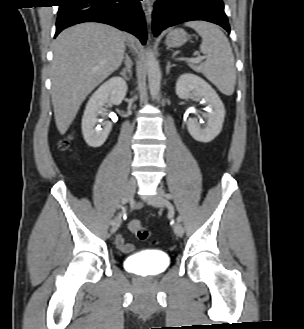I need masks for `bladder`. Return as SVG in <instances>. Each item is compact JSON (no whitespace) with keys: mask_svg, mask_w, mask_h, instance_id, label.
Segmentation results:
<instances>
[{"mask_svg":"<svg viewBox=\"0 0 304 329\" xmlns=\"http://www.w3.org/2000/svg\"><path fill=\"white\" fill-rule=\"evenodd\" d=\"M133 257H129L125 260V265L126 267L129 269V271L137 276H144V277H155L157 275H159L167 266V259H160L158 260V262L156 263L154 269L150 272H140L137 271L132 265L131 263H133Z\"/></svg>","mask_w":304,"mask_h":329,"instance_id":"31cf9c89","label":"bladder"}]
</instances>
